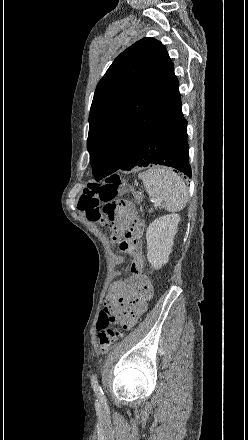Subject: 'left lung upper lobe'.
<instances>
[{
	"mask_svg": "<svg viewBox=\"0 0 248 440\" xmlns=\"http://www.w3.org/2000/svg\"><path fill=\"white\" fill-rule=\"evenodd\" d=\"M180 102L161 42L147 37L123 51L99 81L90 109L87 147L96 180L115 172L132 145Z\"/></svg>",
	"mask_w": 248,
	"mask_h": 440,
	"instance_id": "left-lung-upper-lobe-1",
	"label": "left lung upper lobe"
}]
</instances>
